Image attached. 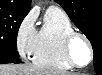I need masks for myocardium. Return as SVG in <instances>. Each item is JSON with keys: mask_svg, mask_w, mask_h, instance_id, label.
Listing matches in <instances>:
<instances>
[{"mask_svg": "<svg viewBox=\"0 0 102 75\" xmlns=\"http://www.w3.org/2000/svg\"><path fill=\"white\" fill-rule=\"evenodd\" d=\"M77 38L83 39L87 45V48H88V60L85 64L77 63L73 56V53H72V46H73L74 41ZM63 51L65 54V57L71 63L72 66L84 67V66L88 65L90 63V61L92 60V54H93L92 44H91L89 38L85 34L79 32V31L74 30L65 37V39L63 41Z\"/></svg>", "mask_w": 102, "mask_h": 75, "instance_id": "1", "label": "myocardium"}]
</instances>
